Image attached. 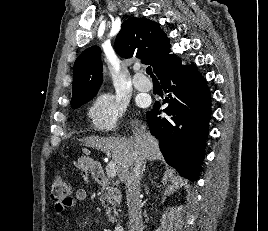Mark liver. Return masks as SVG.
<instances>
[{"label": "liver", "instance_id": "1", "mask_svg": "<svg viewBox=\"0 0 268 231\" xmlns=\"http://www.w3.org/2000/svg\"><path fill=\"white\" fill-rule=\"evenodd\" d=\"M131 125L134 128L132 130L133 136L129 138L89 136L81 140L86 146L100 149L112 156L121 181H124L125 172L130 165L133 151H137L143 161H155L162 158L158 148V141L146 130V126L141 125L138 120L132 121ZM83 151L89 154L88 150L84 149Z\"/></svg>", "mask_w": 268, "mask_h": 231}]
</instances>
